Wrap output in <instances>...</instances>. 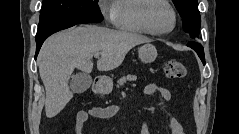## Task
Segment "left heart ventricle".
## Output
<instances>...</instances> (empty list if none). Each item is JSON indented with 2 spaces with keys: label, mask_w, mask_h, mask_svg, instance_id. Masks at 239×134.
Segmentation results:
<instances>
[{
  "label": "left heart ventricle",
  "mask_w": 239,
  "mask_h": 134,
  "mask_svg": "<svg viewBox=\"0 0 239 134\" xmlns=\"http://www.w3.org/2000/svg\"><path fill=\"white\" fill-rule=\"evenodd\" d=\"M151 25L157 31L168 30L173 22L172 13L163 3L156 2L149 11Z\"/></svg>",
  "instance_id": "1"
}]
</instances>
